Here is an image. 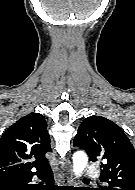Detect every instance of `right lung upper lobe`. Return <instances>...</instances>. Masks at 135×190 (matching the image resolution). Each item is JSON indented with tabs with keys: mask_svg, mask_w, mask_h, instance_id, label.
<instances>
[{
	"mask_svg": "<svg viewBox=\"0 0 135 190\" xmlns=\"http://www.w3.org/2000/svg\"><path fill=\"white\" fill-rule=\"evenodd\" d=\"M50 142L47 123L41 114L30 113L19 119L0 139V180L49 170L45 154L52 152ZM32 168L37 171L32 172Z\"/></svg>",
	"mask_w": 135,
	"mask_h": 190,
	"instance_id": "right-lung-upper-lobe-1",
	"label": "right lung upper lobe"
}]
</instances>
